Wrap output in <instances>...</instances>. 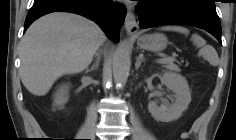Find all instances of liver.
Wrapping results in <instances>:
<instances>
[{
    "mask_svg": "<svg viewBox=\"0 0 236 140\" xmlns=\"http://www.w3.org/2000/svg\"><path fill=\"white\" fill-rule=\"evenodd\" d=\"M106 40L101 28L80 15L56 12L35 21L20 47V77L25 88L44 96L65 74L87 69Z\"/></svg>",
    "mask_w": 236,
    "mask_h": 140,
    "instance_id": "obj_1",
    "label": "liver"
}]
</instances>
